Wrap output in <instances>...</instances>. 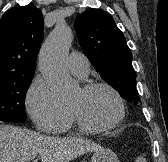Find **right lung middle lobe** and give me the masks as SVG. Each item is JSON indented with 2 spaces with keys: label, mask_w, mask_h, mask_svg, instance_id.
<instances>
[{
  "label": "right lung middle lobe",
  "mask_w": 168,
  "mask_h": 162,
  "mask_svg": "<svg viewBox=\"0 0 168 162\" xmlns=\"http://www.w3.org/2000/svg\"><path fill=\"white\" fill-rule=\"evenodd\" d=\"M33 73L0 80V121L24 122L25 94L30 86Z\"/></svg>",
  "instance_id": "dd1d6c3e"
}]
</instances>
